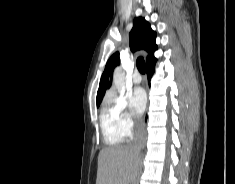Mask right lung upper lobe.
Masks as SVG:
<instances>
[{"label":"right lung upper lobe","instance_id":"obj_1","mask_svg":"<svg viewBox=\"0 0 235 184\" xmlns=\"http://www.w3.org/2000/svg\"><path fill=\"white\" fill-rule=\"evenodd\" d=\"M134 26L130 32V49L132 52L144 50L147 52L146 66L156 62L154 52L157 49L155 44L156 32L144 18L137 17L133 21ZM119 52L114 53L108 60L103 75L100 80L97 92V104H100L107 89L111 86L113 68L119 65ZM110 75V81H109Z\"/></svg>","mask_w":235,"mask_h":184}]
</instances>
